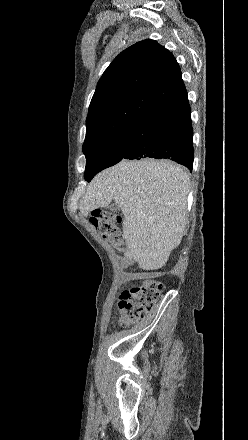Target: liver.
<instances>
[{"label": "liver", "instance_id": "6515ba94", "mask_svg": "<svg viewBox=\"0 0 248 440\" xmlns=\"http://www.w3.org/2000/svg\"><path fill=\"white\" fill-rule=\"evenodd\" d=\"M187 170L168 160H122L97 174L80 202L84 216L112 200L124 215L125 256L143 270L162 268L187 224Z\"/></svg>", "mask_w": 248, "mask_h": 440}]
</instances>
